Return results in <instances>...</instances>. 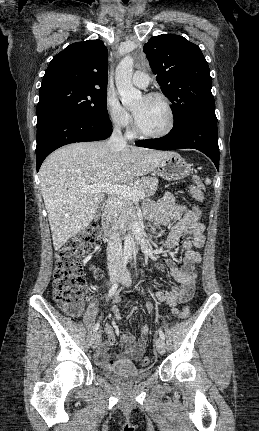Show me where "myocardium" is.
<instances>
[{"mask_svg":"<svg viewBox=\"0 0 259 431\" xmlns=\"http://www.w3.org/2000/svg\"><path fill=\"white\" fill-rule=\"evenodd\" d=\"M146 99H158L160 101H162V103L164 104L167 114H168V122L165 126V128L159 132L156 133H148L143 131L136 120V117L134 116V121H133V131L136 135L142 137V138H148V139H159V138H163L165 136H167L174 127L175 124V115H174V110L171 104L170 99L164 95L163 93L160 92H151L148 93L147 95H145Z\"/></svg>","mask_w":259,"mask_h":431,"instance_id":"obj_1","label":"myocardium"}]
</instances>
